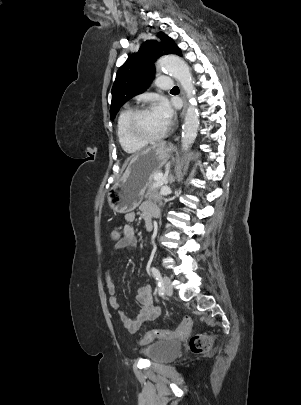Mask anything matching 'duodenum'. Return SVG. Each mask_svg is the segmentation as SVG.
Wrapping results in <instances>:
<instances>
[{
    "mask_svg": "<svg viewBox=\"0 0 301 405\" xmlns=\"http://www.w3.org/2000/svg\"><path fill=\"white\" fill-rule=\"evenodd\" d=\"M146 229H147V231H152V229H153L152 220L146 221Z\"/></svg>",
    "mask_w": 301,
    "mask_h": 405,
    "instance_id": "410a0bca",
    "label": "duodenum"
}]
</instances>
